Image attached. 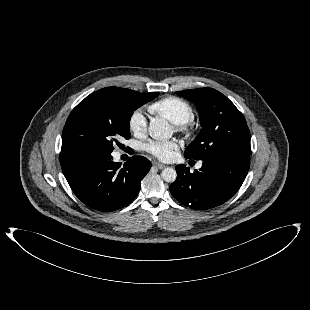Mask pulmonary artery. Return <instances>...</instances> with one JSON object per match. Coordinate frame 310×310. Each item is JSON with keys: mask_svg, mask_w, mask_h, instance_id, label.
Listing matches in <instances>:
<instances>
[{"mask_svg": "<svg viewBox=\"0 0 310 310\" xmlns=\"http://www.w3.org/2000/svg\"><path fill=\"white\" fill-rule=\"evenodd\" d=\"M197 167L200 168L201 167V163H199Z\"/></svg>", "mask_w": 310, "mask_h": 310, "instance_id": "obj_1", "label": "pulmonary artery"}]
</instances>
